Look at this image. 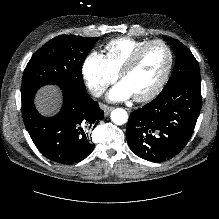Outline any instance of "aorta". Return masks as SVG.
Returning <instances> with one entry per match:
<instances>
[{
	"instance_id": "1",
	"label": "aorta",
	"mask_w": 219,
	"mask_h": 219,
	"mask_svg": "<svg viewBox=\"0 0 219 219\" xmlns=\"http://www.w3.org/2000/svg\"><path fill=\"white\" fill-rule=\"evenodd\" d=\"M110 117L112 122L116 125H123L128 121V113L122 108L114 109Z\"/></svg>"
}]
</instances>
